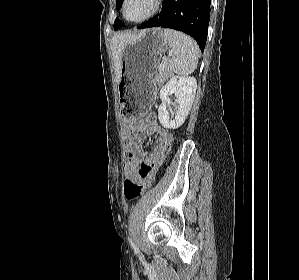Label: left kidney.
Returning <instances> with one entry per match:
<instances>
[{
	"label": "left kidney",
	"instance_id": "1",
	"mask_svg": "<svg viewBox=\"0 0 299 280\" xmlns=\"http://www.w3.org/2000/svg\"><path fill=\"white\" fill-rule=\"evenodd\" d=\"M197 88V81L194 77L173 76L161 88L160 99L162 104L158 108V118L161 125L168 129H177L188 116ZM176 96L177 111L173 119L169 117L166 106L169 103L170 95Z\"/></svg>",
	"mask_w": 299,
	"mask_h": 280
}]
</instances>
